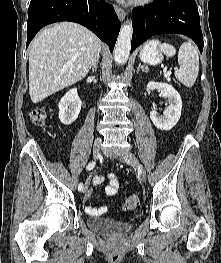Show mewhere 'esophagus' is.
I'll use <instances>...</instances> for the list:
<instances>
[{
  "label": "esophagus",
  "mask_w": 221,
  "mask_h": 263,
  "mask_svg": "<svg viewBox=\"0 0 221 263\" xmlns=\"http://www.w3.org/2000/svg\"><path fill=\"white\" fill-rule=\"evenodd\" d=\"M115 11H116V14L118 16V18L123 21L125 19V16H126V12L124 11V9H122L121 7L115 5Z\"/></svg>",
  "instance_id": "obj_1"
}]
</instances>
